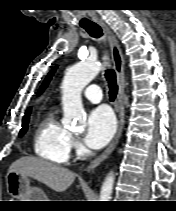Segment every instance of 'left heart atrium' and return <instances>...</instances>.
Instances as JSON below:
<instances>
[{
	"label": "left heart atrium",
	"instance_id": "1",
	"mask_svg": "<svg viewBox=\"0 0 176 211\" xmlns=\"http://www.w3.org/2000/svg\"><path fill=\"white\" fill-rule=\"evenodd\" d=\"M115 129L112 112L106 107H98L88 116L84 141L91 148H102L111 140Z\"/></svg>",
	"mask_w": 176,
	"mask_h": 211
}]
</instances>
